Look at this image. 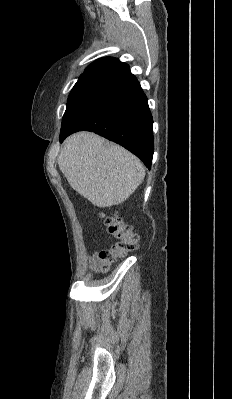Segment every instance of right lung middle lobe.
<instances>
[{
    "mask_svg": "<svg viewBox=\"0 0 232 399\" xmlns=\"http://www.w3.org/2000/svg\"><path fill=\"white\" fill-rule=\"evenodd\" d=\"M96 84L97 82L92 80H78L77 83L74 85L71 93L69 94L68 101L80 96L83 92L95 86Z\"/></svg>",
    "mask_w": 232,
    "mask_h": 399,
    "instance_id": "1",
    "label": "right lung middle lobe"
}]
</instances>
